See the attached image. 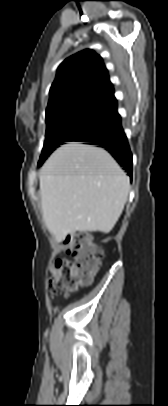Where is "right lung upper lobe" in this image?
I'll return each instance as SVG.
<instances>
[{"label": "right lung upper lobe", "instance_id": "cb5924a9", "mask_svg": "<svg viewBox=\"0 0 168 406\" xmlns=\"http://www.w3.org/2000/svg\"><path fill=\"white\" fill-rule=\"evenodd\" d=\"M114 89L102 58L92 50H83L61 63L50 88L46 114L82 104L112 106Z\"/></svg>", "mask_w": 168, "mask_h": 406}]
</instances>
